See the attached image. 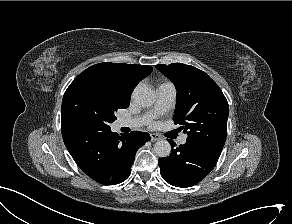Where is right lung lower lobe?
I'll return each instance as SVG.
<instances>
[{
    "label": "right lung lower lobe",
    "instance_id": "obj_1",
    "mask_svg": "<svg viewBox=\"0 0 292 224\" xmlns=\"http://www.w3.org/2000/svg\"><path fill=\"white\" fill-rule=\"evenodd\" d=\"M66 148L79 168L103 185H115L131 174L137 150L150 140L145 132L122 134L81 125L62 126Z\"/></svg>",
    "mask_w": 292,
    "mask_h": 224
}]
</instances>
